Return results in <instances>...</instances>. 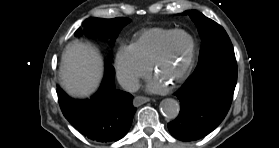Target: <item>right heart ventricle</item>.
Masks as SVG:
<instances>
[{
	"label": "right heart ventricle",
	"mask_w": 279,
	"mask_h": 148,
	"mask_svg": "<svg viewBox=\"0 0 279 148\" xmlns=\"http://www.w3.org/2000/svg\"><path fill=\"white\" fill-rule=\"evenodd\" d=\"M173 29L150 28L140 33L131 45L136 55L148 66H151L161 46Z\"/></svg>",
	"instance_id": "right-heart-ventricle-1"
}]
</instances>
